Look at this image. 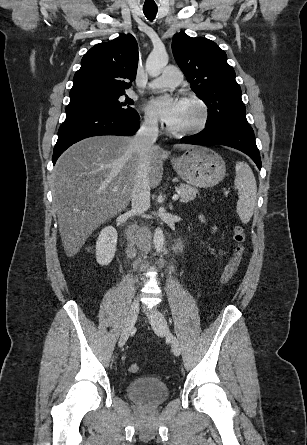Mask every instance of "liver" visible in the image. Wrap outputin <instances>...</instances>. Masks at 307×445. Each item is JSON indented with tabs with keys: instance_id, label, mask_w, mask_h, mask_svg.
<instances>
[{
	"instance_id": "6515ba94",
	"label": "liver",
	"mask_w": 307,
	"mask_h": 445,
	"mask_svg": "<svg viewBox=\"0 0 307 445\" xmlns=\"http://www.w3.org/2000/svg\"><path fill=\"white\" fill-rule=\"evenodd\" d=\"M131 140L132 136H90L60 156L51 184L67 257L77 255L95 229L128 206L138 166ZM174 146L184 150L192 144ZM148 154L150 186L155 188L163 174L160 146L152 144Z\"/></svg>"
}]
</instances>
